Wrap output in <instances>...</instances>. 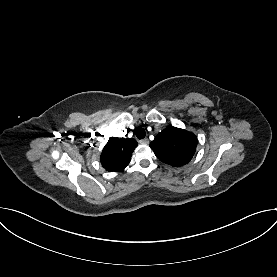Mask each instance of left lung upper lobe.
<instances>
[{
	"instance_id": "left-lung-upper-lobe-1",
	"label": "left lung upper lobe",
	"mask_w": 277,
	"mask_h": 277,
	"mask_svg": "<svg viewBox=\"0 0 277 277\" xmlns=\"http://www.w3.org/2000/svg\"><path fill=\"white\" fill-rule=\"evenodd\" d=\"M197 138L193 133L173 126L166 127L150 143L155 155L174 167L187 164L193 157Z\"/></svg>"
}]
</instances>
